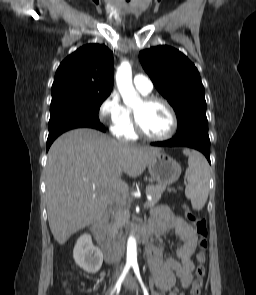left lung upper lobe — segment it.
Here are the masks:
<instances>
[{"mask_svg": "<svg viewBox=\"0 0 256 295\" xmlns=\"http://www.w3.org/2000/svg\"><path fill=\"white\" fill-rule=\"evenodd\" d=\"M140 62L157 90L173 107L177 133H208L205 91L194 64L179 50L156 46L139 53Z\"/></svg>", "mask_w": 256, "mask_h": 295, "instance_id": "obj_1", "label": "left lung upper lobe"}]
</instances>
